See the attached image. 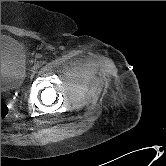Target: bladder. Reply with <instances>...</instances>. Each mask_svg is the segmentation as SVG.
<instances>
[{
    "label": "bladder",
    "mask_w": 166,
    "mask_h": 166,
    "mask_svg": "<svg viewBox=\"0 0 166 166\" xmlns=\"http://www.w3.org/2000/svg\"><path fill=\"white\" fill-rule=\"evenodd\" d=\"M25 75L26 62L21 44L1 34V91L19 89Z\"/></svg>",
    "instance_id": "obj_1"
}]
</instances>
